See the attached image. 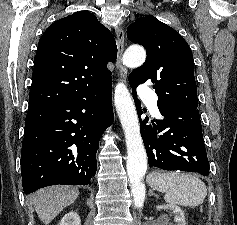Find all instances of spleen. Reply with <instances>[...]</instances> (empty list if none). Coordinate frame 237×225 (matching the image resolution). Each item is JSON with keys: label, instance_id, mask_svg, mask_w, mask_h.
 Wrapping results in <instances>:
<instances>
[{"label": "spleen", "instance_id": "3e777b00", "mask_svg": "<svg viewBox=\"0 0 237 225\" xmlns=\"http://www.w3.org/2000/svg\"><path fill=\"white\" fill-rule=\"evenodd\" d=\"M148 184L164 193L169 204L181 206H198L207 196L205 183L188 173L154 171L148 176Z\"/></svg>", "mask_w": 237, "mask_h": 225}]
</instances>
